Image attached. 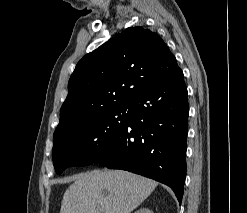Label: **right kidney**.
<instances>
[{
  "label": "right kidney",
  "mask_w": 247,
  "mask_h": 213,
  "mask_svg": "<svg viewBox=\"0 0 247 213\" xmlns=\"http://www.w3.org/2000/svg\"><path fill=\"white\" fill-rule=\"evenodd\" d=\"M134 213H153L152 210H150L149 208H140L139 210H136Z\"/></svg>",
  "instance_id": "1"
}]
</instances>
